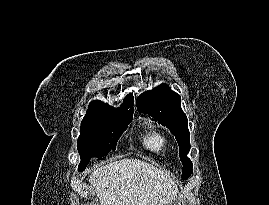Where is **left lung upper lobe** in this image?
Returning <instances> with one entry per match:
<instances>
[{
	"label": "left lung upper lobe",
	"mask_w": 269,
	"mask_h": 205,
	"mask_svg": "<svg viewBox=\"0 0 269 205\" xmlns=\"http://www.w3.org/2000/svg\"><path fill=\"white\" fill-rule=\"evenodd\" d=\"M136 104L139 112L152 116L175 135L183 164L182 179H188L192 174V162L187 157L190 151V133L187 117L181 109V97L167 85H160L140 95Z\"/></svg>",
	"instance_id": "5c2ea615"
}]
</instances>
